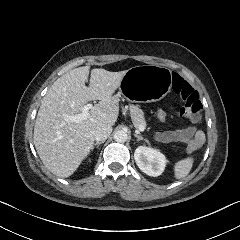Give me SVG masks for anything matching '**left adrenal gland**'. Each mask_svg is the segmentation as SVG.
I'll list each match as a JSON object with an SVG mask.
<instances>
[{"instance_id":"1","label":"left adrenal gland","mask_w":240,"mask_h":240,"mask_svg":"<svg viewBox=\"0 0 240 240\" xmlns=\"http://www.w3.org/2000/svg\"><path fill=\"white\" fill-rule=\"evenodd\" d=\"M135 137H137L138 138V140H143V141H145V142H149V139H147V138H144L143 136H141V135H139V134H135Z\"/></svg>"}]
</instances>
